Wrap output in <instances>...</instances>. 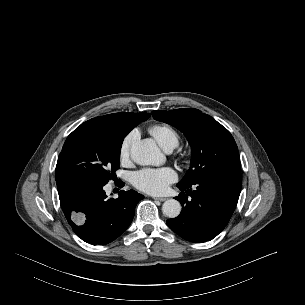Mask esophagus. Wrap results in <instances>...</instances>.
Here are the masks:
<instances>
[{"label":"esophagus","mask_w":305,"mask_h":305,"mask_svg":"<svg viewBox=\"0 0 305 305\" xmlns=\"http://www.w3.org/2000/svg\"><path fill=\"white\" fill-rule=\"evenodd\" d=\"M153 199H154V200L161 201V202H163V201H166V200H167V198H165V197H154Z\"/></svg>","instance_id":"obj_1"}]
</instances>
